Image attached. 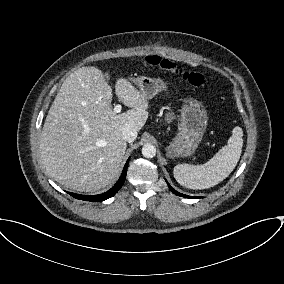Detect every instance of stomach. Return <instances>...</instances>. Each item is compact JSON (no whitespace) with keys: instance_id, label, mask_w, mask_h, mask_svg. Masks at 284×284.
Masks as SVG:
<instances>
[{"instance_id":"stomach-1","label":"stomach","mask_w":284,"mask_h":284,"mask_svg":"<svg viewBox=\"0 0 284 284\" xmlns=\"http://www.w3.org/2000/svg\"><path fill=\"white\" fill-rule=\"evenodd\" d=\"M141 93L152 99L158 92L165 90L167 84L163 79L138 77L133 80ZM178 133L167 147V155L174 157H189L198 148L207 126V114L203 106L194 99H187L181 108Z\"/></svg>"}]
</instances>
